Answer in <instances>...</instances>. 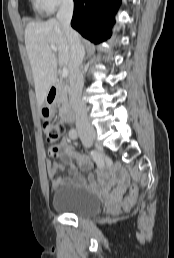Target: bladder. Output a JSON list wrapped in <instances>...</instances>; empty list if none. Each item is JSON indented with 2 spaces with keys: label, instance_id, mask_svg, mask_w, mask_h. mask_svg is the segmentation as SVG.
Returning a JSON list of instances; mask_svg holds the SVG:
<instances>
[{
  "label": "bladder",
  "instance_id": "31cf9c89",
  "mask_svg": "<svg viewBox=\"0 0 174 258\" xmlns=\"http://www.w3.org/2000/svg\"><path fill=\"white\" fill-rule=\"evenodd\" d=\"M51 206L61 213L78 217L95 216L101 212L99 197L89 188L63 181L52 197Z\"/></svg>",
  "mask_w": 174,
  "mask_h": 258
}]
</instances>
